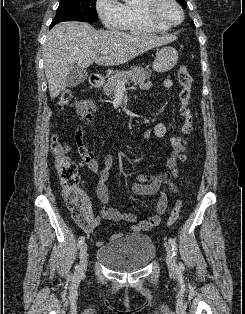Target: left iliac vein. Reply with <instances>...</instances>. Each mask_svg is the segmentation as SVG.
<instances>
[{
	"label": "left iliac vein",
	"instance_id": "obj_1",
	"mask_svg": "<svg viewBox=\"0 0 245 314\" xmlns=\"http://www.w3.org/2000/svg\"><path fill=\"white\" fill-rule=\"evenodd\" d=\"M166 262L170 272L175 273L177 270L175 259L173 257L172 249L169 245L166 247Z\"/></svg>",
	"mask_w": 245,
	"mask_h": 314
}]
</instances>
